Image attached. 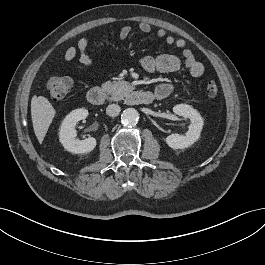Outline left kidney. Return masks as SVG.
I'll use <instances>...</instances> for the list:
<instances>
[{
	"mask_svg": "<svg viewBox=\"0 0 265 265\" xmlns=\"http://www.w3.org/2000/svg\"><path fill=\"white\" fill-rule=\"evenodd\" d=\"M176 115L183 116L190 120L188 131L184 135L171 134L165 141L172 149H184L195 143L201 134L203 128V119L198 111L187 104H179L173 107Z\"/></svg>",
	"mask_w": 265,
	"mask_h": 265,
	"instance_id": "1",
	"label": "left kidney"
}]
</instances>
